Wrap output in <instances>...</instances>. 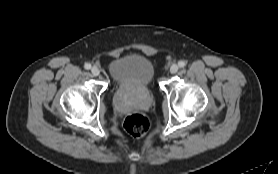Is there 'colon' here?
Masks as SVG:
<instances>
[{
	"label": "colon",
	"instance_id": "5ec220e1",
	"mask_svg": "<svg viewBox=\"0 0 278 174\" xmlns=\"http://www.w3.org/2000/svg\"><path fill=\"white\" fill-rule=\"evenodd\" d=\"M123 127L132 136L140 137L149 130L150 121L145 114L135 112L125 117Z\"/></svg>",
	"mask_w": 278,
	"mask_h": 174
}]
</instances>
